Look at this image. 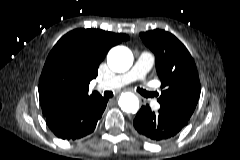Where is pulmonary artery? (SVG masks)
Returning <instances> with one entry per match:
<instances>
[{
    "label": "pulmonary artery",
    "instance_id": "1",
    "mask_svg": "<svg viewBox=\"0 0 240 160\" xmlns=\"http://www.w3.org/2000/svg\"><path fill=\"white\" fill-rule=\"evenodd\" d=\"M154 60V56L151 53L143 51L138 56L134 66L128 72L114 76L105 81V86L121 87L137 80H145L154 64ZM146 88L149 89V86H146ZM156 106H158L157 103Z\"/></svg>",
    "mask_w": 240,
    "mask_h": 160
}]
</instances>
